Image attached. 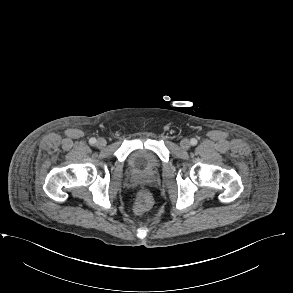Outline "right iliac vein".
<instances>
[{"mask_svg": "<svg viewBox=\"0 0 293 293\" xmlns=\"http://www.w3.org/2000/svg\"><path fill=\"white\" fill-rule=\"evenodd\" d=\"M107 144L106 140L104 138H99L96 142L97 147L103 148Z\"/></svg>", "mask_w": 293, "mask_h": 293, "instance_id": "obj_1", "label": "right iliac vein"}]
</instances>
